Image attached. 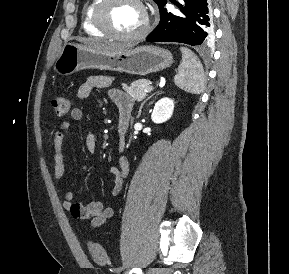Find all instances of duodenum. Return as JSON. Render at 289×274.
Wrapping results in <instances>:
<instances>
[{
	"instance_id": "410a0bca",
	"label": "duodenum",
	"mask_w": 289,
	"mask_h": 274,
	"mask_svg": "<svg viewBox=\"0 0 289 274\" xmlns=\"http://www.w3.org/2000/svg\"><path fill=\"white\" fill-rule=\"evenodd\" d=\"M130 117L131 115L126 112H122L119 114L118 135L120 138H124L127 133L128 126L130 123Z\"/></svg>"
}]
</instances>
